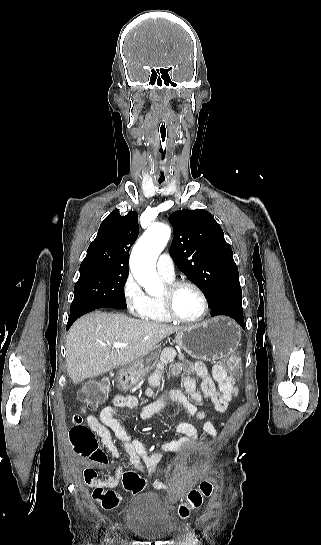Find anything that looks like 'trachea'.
<instances>
[{
  "label": "trachea",
  "instance_id": "1",
  "mask_svg": "<svg viewBox=\"0 0 321 545\" xmlns=\"http://www.w3.org/2000/svg\"><path fill=\"white\" fill-rule=\"evenodd\" d=\"M160 136H159V139H160V144H165V139H166V134H167V126L165 124H162L160 126ZM163 158L166 156L164 153L161 155ZM161 173L164 171L162 168L159 170Z\"/></svg>",
  "mask_w": 321,
  "mask_h": 545
}]
</instances>
